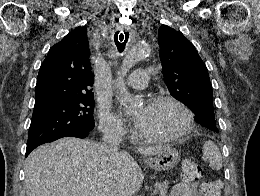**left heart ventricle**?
Here are the masks:
<instances>
[{
	"mask_svg": "<svg viewBox=\"0 0 260 196\" xmlns=\"http://www.w3.org/2000/svg\"><path fill=\"white\" fill-rule=\"evenodd\" d=\"M141 130L149 134H170L181 130L186 123L185 113L173 104L147 105Z\"/></svg>",
	"mask_w": 260,
	"mask_h": 196,
	"instance_id": "left-heart-ventricle-1",
	"label": "left heart ventricle"
}]
</instances>
